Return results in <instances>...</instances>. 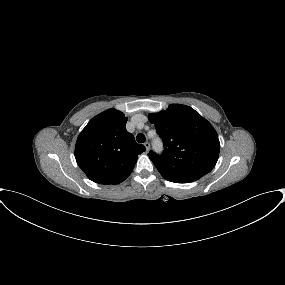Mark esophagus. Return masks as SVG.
<instances>
[{"instance_id":"34e87169","label":"esophagus","mask_w":285,"mask_h":285,"mask_svg":"<svg viewBox=\"0 0 285 285\" xmlns=\"http://www.w3.org/2000/svg\"><path fill=\"white\" fill-rule=\"evenodd\" d=\"M144 146H145V148H146V151H149V149H150V143H149V142H145V143H144Z\"/></svg>"}]
</instances>
